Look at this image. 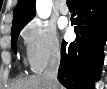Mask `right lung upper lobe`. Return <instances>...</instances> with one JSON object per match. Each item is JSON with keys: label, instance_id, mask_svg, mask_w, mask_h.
Wrapping results in <instances>:
<instances>
[{"label": "right lung upper lobe", "instance_id": "right-lung-upper-lobe-1", "mask_svg": "<svg viewBox=\"0 0 107 89\" xmlns=\"http://www.w3.org/2000/svg\"><path fill=\"white\" fill-rule=\"evenodd\" d=\"M35 16V0H18L13 12L12 28L26 25Z\"/></svg>", "mask_w": 107, "mask_h": 89}]
</instances>
